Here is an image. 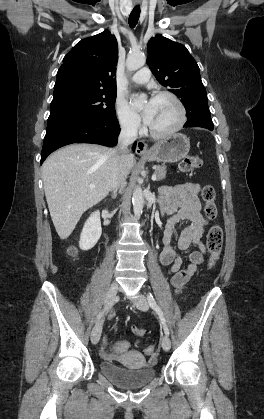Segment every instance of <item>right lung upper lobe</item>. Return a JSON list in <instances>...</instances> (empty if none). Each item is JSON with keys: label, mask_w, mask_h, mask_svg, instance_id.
<instances>
[{"label": "right lung upper lobe", "mask_w": 264, "mask_h": 419, "mask_svg": "<svg viewBox=\"0 0 264 419\" xmlns=\"http://www.w3.org/2000/svg\"><path fill=\"white\" fill-rule=\"evenodd\" d=\"M117 40L109 31L81 40L64 57L54 89L78 84L116 91Z\"/></svg>", "instance_id": "obj_1"}]
</instances>
